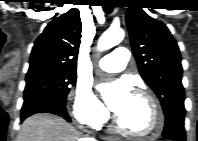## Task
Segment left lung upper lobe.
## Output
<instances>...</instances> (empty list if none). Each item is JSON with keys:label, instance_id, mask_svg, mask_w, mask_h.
Listing matches in <instances>:
<instances>
[{"label": "left lung upper lobe", "instance_id": "5c2ea615", "mask_svg": "<svg viewBox=\"0 0 198 141\" xmlns=\"http://www.w3.org/2000/svg\"><path fill=\"white\" fill-rule=\"evenodd\" d=\"M126 23L140 74L160 99L165 117L184 108L180 51L166 25L139 4L129 7Z\"/></svg>", "mask_w": 198, "mask_h": 141}]
</instances>
